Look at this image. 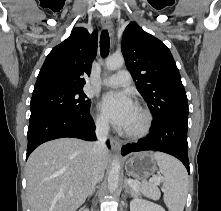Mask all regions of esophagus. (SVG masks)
I'll return each mask as SVG.
<instances>
[{
	"label": "esophagus",
	"instance_id": "1",
	"mask_svg": "<svg viewBox=\"0 0 221 211\" xmlns=\"http://www.w3.org/2000/svg\"><path fill=\"white\" fill-rule=\"evenodd\" d=\"M101 23H102L103 28L108 29L110 32H112L113 24H112V21L110 18H108V17L102 18ZM110 143H111V147L114 151H120L121 143L119 140H117L115 138H111Z\"/></svg>",
	"mask_w": 221,
	"mask_h": 211
}]
</instances>
